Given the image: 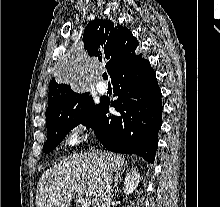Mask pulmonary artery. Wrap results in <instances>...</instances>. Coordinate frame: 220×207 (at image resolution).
<instances>
[{"label":"pulmonary artery","instance_id":"pulmonary-artery-1","mask_svg":"<svg viewBox=\"0 0 220 207\" xmlns=\"http://www.w3.org/2000/svg\"><path fill=\"white\" fill-rule=\"evenodd\" d=\"M97 89L100 94H104L106 92V87L103 85H99Z\"/></svg>","mask_w":220,"mask_h":207}]
</instances>
